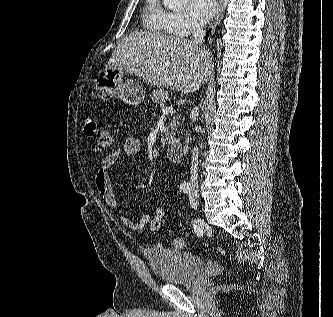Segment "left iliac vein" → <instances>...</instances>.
I'll list each match as a JSON object with an SVG mask.
<instances>
[{"label":"left iliac vein","mask_w":333,"mask_h":317,"mask_svg":"<svg viewBox=\"0 0 333 317\" xmlns=\"http://www.w3.org/2000/svg\"><path fill=\"white\" fill-rule=\"evenodd\" d=\"M189 202H190V206L193 208V209H197L198 207V195L197 193L195 192H191L189 194Z\"/></svg>","instance_id":"obj_1"}]
</instances>
